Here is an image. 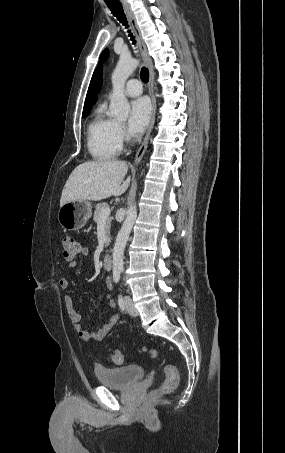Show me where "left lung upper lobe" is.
Masks as SVG:
<instances>
[{
    "mask_svg": "<svg viewBox=\"0 0 285 453\" xmlns=\"http://www.w3.org/2000/svg\"><path fill=\"white\" fill-rule=\"evenodd\" d=\"M108 57V50H104L100 56V61H105Z\"/></svg>",
    "mask_w": 285,
    "mask_h": 453,
    "instance_id": "obj_1",
    "label": "left lung upper lobe"
}]
</instances>
